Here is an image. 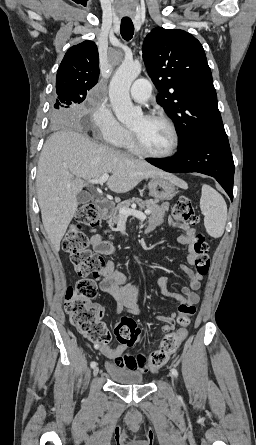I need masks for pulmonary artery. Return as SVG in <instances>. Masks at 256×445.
<instances>
[{"label":"pulmonary artery","instance_id":"1","mask_svg":"<svg viewBox=\"0 0 256 445\" xmlns=\"http://www.w3.org/2000/svg\"><path fill=\"white\" fill-rule=\"evenodd\" d=\"M131 98L138 103H146L151 96V83L144 78L137 79L130 89Z\"/></svg>","mask_w":256,"mask_h":445}]
</instances>
